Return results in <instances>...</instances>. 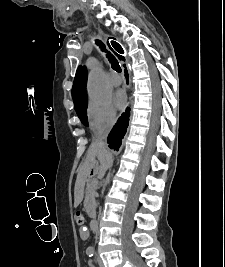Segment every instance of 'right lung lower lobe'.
<instances>
[{
  "label": "right lung lower lobe",
  "mask_w": 225,
  "mask_h": 267,
  "mask_svg": "<svg viewBox=\"0 0 225 267\" xmlns=\"http://www.w3.org/2000/svg\"><path fill=\"white\" fill-rule=\"evenodd\" d=\"M127 77V76H126ZM128 80V77H127ZM129 120V110H126V113L119 118L117 124L114 126L113 130L108 136V143L111 149L118 150L121 143L122 129L128 124Z\"/></svg>",
  "instance_id": "1"
}]
</instances>
